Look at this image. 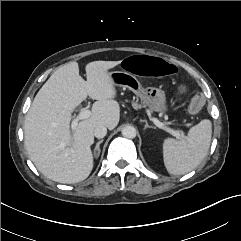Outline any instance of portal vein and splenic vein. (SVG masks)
Instances as JSON below:
<instances>
[{
	"label": "portal vein and splenic vein",
	"instance_id": "obj_1",
	"mask_svg": "<svg viewBox=\"0 0 241 241\" xmlns=\"http://www.w3.org/2000/svg\"><path fill=\"white\" fill-rule=\"evenodd\" d=\"M91 116V112L87 109H82L79 114L72 120L71 128L72 130L76 129L78 122L84 119H87ZM153 123L160 129L168 132L172 136L180 139L184 137V134L178 130H174L172 128L167 127L164 123L160 122L156 118H152Z\"/></svg>",
	"mask_w": 241,
	"mask_h": 241
}]
</instances>
